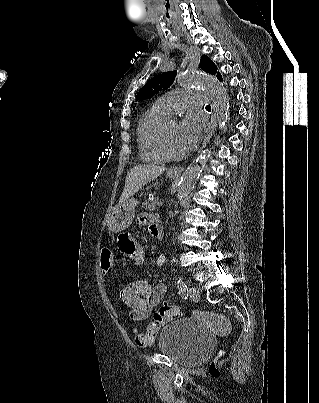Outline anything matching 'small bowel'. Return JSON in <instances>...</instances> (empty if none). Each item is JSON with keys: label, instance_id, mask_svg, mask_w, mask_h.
I'll return each instance as SVG.
<instances>
[{"label": "small bowel", "instance_id": "c3829d8e", "mask_svg": "<svg viewBox=\"0 0 319 403\" xmlns=\"http://www.w3.org/2000/svg\"><path fill=\"white\" fill-rule=\"evenodd\" d=\"M137 223L140 226H147L151 234L156 237V238H161L162 236V231L160 224L158 220L147 213L140 214L137 218ZM115 247L116 248H121V261L122 262H129L130 260H134V264L136 267L142 264L145 256V251L144 248L138 244L135 243V238L130 236L128 233H115ZM130 257H132L130 259ZM165 262V257L164 256H159L157 259V264L158 265H163ZM113 267V257L111 256V253L108 249L100 250L99 251V268L101 270H106V269H111ZM139 282H147L145 280H136ZM133 281V282H136ZM166 285L165 284H157L154 287L151 288L150 291V306L148 313H129V316L131 320L133 321H140L144 320L149 317V315L152 312V309L157 306L163 297L166 294ZM123 289L121 291V298L123 301ZM137 333L136 331H131L130 329V335L133 336V334Z\"/></svg>", "mask_w": 319, "mask_h": 403}]
</instances>
